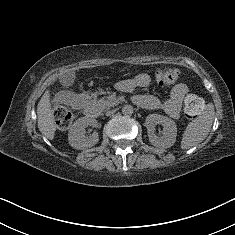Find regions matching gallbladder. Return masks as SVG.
<instances>
[{
  "instance_id": "bac80fb5",
  "label": "gallbladder",
  "mask_w": 235,
  "mask_h": 235,
  "mask_svg": "<svg viewBox=\"0 0 235 235\" xmlns=\"http://www.w3.org/2000/svg\"><path fill=\"white\" fill-rule=\"evenodd\" d=\"M71 83L70 82H68V83H65V85H70Z\"/></svg>"
}]
</instances>
